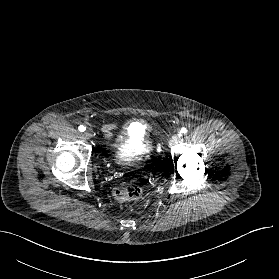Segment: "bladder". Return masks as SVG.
I'll return each instance as SVG.
<instances>
[{
  "label": "bladder",
  "instance_id": "1",
  "mask_svg": "<svg viewBox=\"0 0 279 279\" xmlns=\"http://www.w3.org/2000/svg\"><path fill=\"white\" fill-rule=\"evenodd\" d=\"M147 141L146 125L138 121L128 123L116 148L117 160L123 161L132 154L144 152Z\"/></svg>",
  "mask_w": 279,
  "mask_h": 279
}]
</instances>
